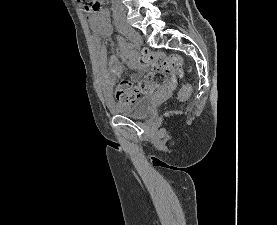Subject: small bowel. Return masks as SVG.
<instances>
[{
	"label": "small bowel",
	"instance_id": "c3829d8e",
	"mask_svg": "<svg viewBox=\"0 0 277 225\" xmlns=\"http://www.w3.org/2000/svg\"><path fill=\"white\" fill-rule=\"evenodd\" d=\"M89 20L94 31L93 50L102 72V87L106 88L112 84L114 78L120 74L122 63L125 61H128L131 68L139 70L140 67L136 64L133 53L121 37H117V55H113L110 58L106 57V47L101 43L100 38L108 36L112 32L108 11L105 8H101L96 13L91 12ZM169 83H173V80L169 81Z\"/></svg>",
	"mask_w": 277,
	"mask_h": 225
}]
</instances>
